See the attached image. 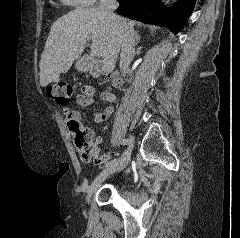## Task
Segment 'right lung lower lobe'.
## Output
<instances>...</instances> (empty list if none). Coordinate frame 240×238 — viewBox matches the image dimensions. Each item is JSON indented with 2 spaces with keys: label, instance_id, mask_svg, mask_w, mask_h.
I'll list each match as a JSON object with an SVG mask.
<instances>
[{
  "label": "right lung lower lobe",
  "instance_id": "98d812e1",
  "mask_svg": "<svg viewBox=\"0 0 240 238\" xmlns=\"http://www.w3.org/2000/svg\"><path fill=\"white\" fill-rule=\"evenodd\" d=\"M196 0H178L175 7L166 8L159 0H120L117 12L148 24L167 26L178 33L191 15Z\"/></svg>",
  "mask_w": 240,
  "mask_h": 238
}]
</instances>
